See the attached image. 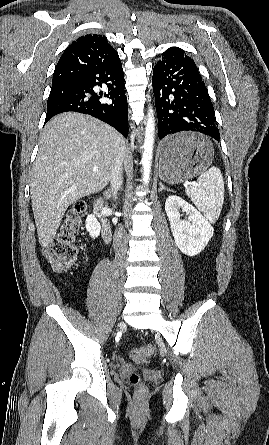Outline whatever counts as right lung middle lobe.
I'll list each match as a JSON object with an SVG mask.
<instances>
[{"label": "right lung middle lobe", "mask_w": 269, "mask_h": 445, "mask_svg": "<svg viewBox=\"0 0 269 445\" xmlns=\"http://www.w3.org/2000/svg\"><path fill=\"white\" fill-rule=\"evenodd\" d=\"M71 92V87L69 86H59L52 87L50 95L47 101V107L51 106L53 103L60 99L66 98Z\"/></svg>", "instance_id": "dd1d6c3e"}]
</instances>
